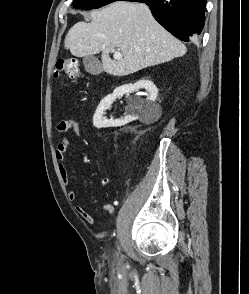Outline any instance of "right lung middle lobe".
<instances>
[{"label":"right lung middle lobe","mask_w":249,"mask_h":294,"mask_svg":"<svg viewBox=\"0 0 249 294\" xmlns=\"http://www.w3.org/2000/svg\"><path fill=\"white\" fill-rule=\"evenodd\" d=\"M117 0H74L73 6L82 9H95L105 6Z\"/></svg>","instance_id":"obj_1"}]
</instances>
